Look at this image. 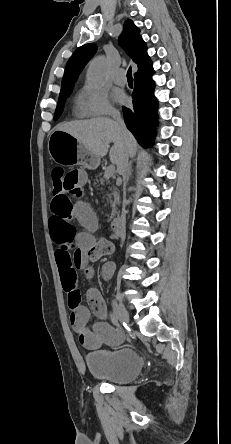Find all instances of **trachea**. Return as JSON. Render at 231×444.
I'll list each match as a JSON object with an SVG mask.
<instances>
[{"label":"trachea","mask_w":231,"mask_h":444,"mask_svg":"<svg viewBox=\"0 0 231 444\" xmlns=\"http://www.w3.org/2000/svg\"><path fill=\"white\" fill-rule=\"evenodd\" d=\"M127 80H130V81L133 80L131 67L127 71Z\"/></svg>","instance_id":"trachea-1"}]
</instances>
